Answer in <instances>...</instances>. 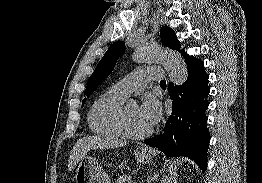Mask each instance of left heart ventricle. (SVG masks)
I'll list each match as a JSON object with an SVG mask.
<instances>
[{"instance_id": "obj_1", "label": "left heart ventricle", "mask_w": 262, "mask_h": 183, "mask_svg": "<svg viewBox=\"0 0 262 183\" xmlns=\"http://www.w3.org/2000/svg\"><path fill=\"white\" fill-rule=\"evenodd\" d=\"M126 118L128 126L133 132L140 133L150 129L143 122L137 104L126 105Z\"/></svg>"}]
</instances>
